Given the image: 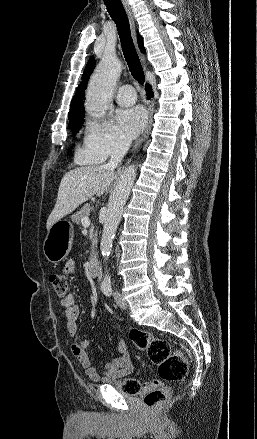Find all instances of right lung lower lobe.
I'll return each instance as SVG.
<instances>
[{"mask_svg":"<svg viewBox=\"0 0 257 439\" xmlns=\"http://www.w3.org/2000/svg\"><path fill=\"white\" fill-rule=\"evenodd\" d=\"M145 88H146L147 98L150 99L153 96L152 89L148 84L145 86Z\"/></svg>","mask_w":257,"mask_h":439,"instance_id":"98d812e1","label":"right lung lower lobe"}]
</instances>
